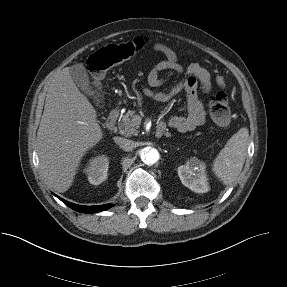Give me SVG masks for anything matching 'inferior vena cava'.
<instances>
[{
    "instance_id": "602c4592",
    "label": "inferior vena cava",
    "mask_w": 287,
    "mask_h": 287,
    "mask_svg": "<svg viewBox=\"0 0 287 287\" xmlns=\"http://www.w3.org/2000/svg\"><path fill=\"white\" fill-rule=\"evenodd\" d=\"M114 141L117 145L120 146V148H122L125 151H131L135 145V143L132 140L122 137H114Z\"/></svg>"
}]
</instances>
